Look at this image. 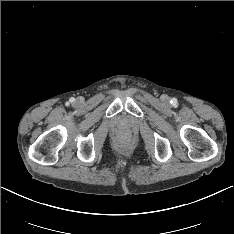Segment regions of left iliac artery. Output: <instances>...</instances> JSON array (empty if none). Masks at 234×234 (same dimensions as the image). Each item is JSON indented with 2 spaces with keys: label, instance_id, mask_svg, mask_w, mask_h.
Instances as JSON below:
<instances>
[{
  "label": "left iliac artery",
  "instance_id": "44dca946",
  "mask_svg": "<svg viewBox=\"0 0 234 234\" xmlns=\"http://www.w3.org/2000/svg\"><path fill=\"white\" fill-rule=\"evenodd\" d=\"M171 103L176 104L177 103V99L173 98L172 101H171Z\"/></svg>",
  "mask_w": 234,
  "mask_h": 234
}]
</instances>
